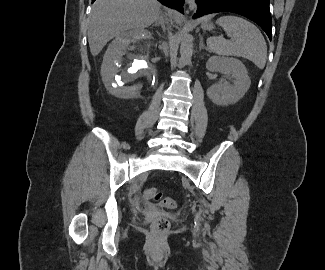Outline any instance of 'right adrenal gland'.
Listing matches in <instances>:
<instances>
[{"mask_svg":"<svg viewBox=\"0 0 325 270\" xmlns=\"http://www.w3.org/2000/svg\"><path fill=\"white\" fill-rule=\"evenodd\" d=\"M159 25L162 27L163 31L166 30L165 21L162 15H160L159 18L153 24V26H159Z\"/></svg>","mask_w":325,"mask_h":270,"instance_id":"right-adrenal-gland-1","label":"right adrenal gland"}]
</instances>
